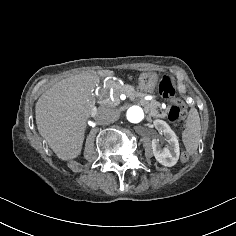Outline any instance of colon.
I'll return each instance as SVG.
<instances>
[{"label":"colon","instance_id":"1","mask_svg":"<svg viewBox=\"0 0 236 236\" xmlns=\"http://www.w3.org/2000/svg\"><path fill=\"white\" fill-rule=\"evenodd\" d=\"M159 92L161 96L173 102V106L169 112V122L172 124L178 123L186 114V107L183 102L176 98L174 81L170 75L162 78L159 84Z\"/></svg>","mask_w":236,"mask_h":236}]
</instances>
